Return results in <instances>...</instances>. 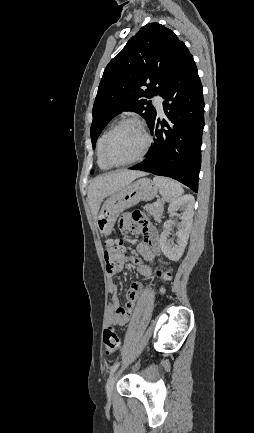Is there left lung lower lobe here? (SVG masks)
Returning <instances> with one entry per match:
<instances>
[{
	"label": "left lung lower lobe",
	"instance_id": "left-lung-lower-lobe-1",
	"mask_svg": "<svg viewBox=\"0 0 254 433\" xmlns=\"http://www.w3.org/2000/svg\"><path fill=\"white\" fill-rule=\"evenodd\" d=\"M161 96L166 99L163 109L167 119L160 121L155 116L149 126L155 136L154 144L147 157L130 169L173 178L197 192L205 104L197 67L189 51Z\"/></svg>",
	"mask_w": 254,
	"mask_h": 433
}]
</instances>
